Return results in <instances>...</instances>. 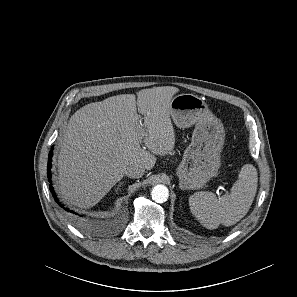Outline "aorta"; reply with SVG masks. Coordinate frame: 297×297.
I'll return each mask as SVG.
<instances>
[{"label": "aorta", "instance_id": "1", "mask_svg": "<svg viewBox=\"0 0 297 297\" xmlns=\"http://www.w3.org/2000/svg\"><path fill=\"white\" fill-rule=\"evenodd\" d=\"M152 199L157 203L166 202L169 197L168 188L165 185H156L151 191Z\"/></svg>", "mask_w": 297, "mask_h": 297}]
</instances>
